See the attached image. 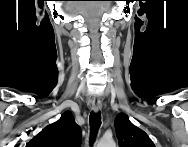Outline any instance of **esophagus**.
Listing matches in <instances>:
<instances>
[{
  "mask_svg": "<svg viewBox=\"0 0 188 147\" xmlns=\"http://www.w3.org/2000/svg\"><path fill=\"white\" fill-rule=\"evenodd\" d=\"M102 108V103L100 98L96 97L93 99L92 101V109L94 110V112H99Z\"/></svg>",
  "mask_w": 188,
  "mask_h": 147,
  "instance_id": "34e87169",
  "label": "esophagus"
}]
</instances>
